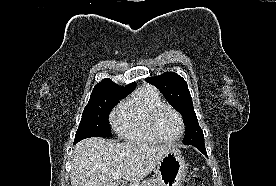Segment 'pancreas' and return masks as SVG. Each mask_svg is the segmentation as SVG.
Here are the masks:
<instances>
[{
    "label": "pancreas",
    "mask_w": 276,
    "mask_h": 186,
    "mask_svg": "<svg viewBox=\"0 0 276 186\" xmlns=\"http://www.w3.org/2000/svg\"><path fill=\"white\" fill-rule=\"evenodd\" d=\"M137 186H162V182L157 179H149L147 181L142 182L140 185Z\"/></svg>",
    "instance_id": "obj_1"
}]
</instances>
